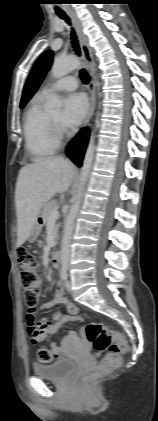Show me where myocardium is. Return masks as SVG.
<instances>
[{
	"label": "myocardium",
	"mask_w": 158,
	"mask_h": 421,
	"mask_svg": "<svg viewBox=\"0 0 158 421\" xmlns=\"http://www.w3.org/2000/svg\"><path fill=\"white\" fill-rule=\"evenodd\" d=\"M50 131L53 139L59 145L64 137V132L60 127L59 123L54 121L51 116H49Z\"/></svg>",
	"instance_id": "myocardium-1"
}]
</instances>
